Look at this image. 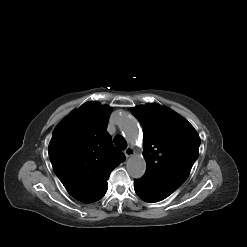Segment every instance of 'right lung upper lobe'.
Masks as SVG:
<instances>
[{"label":"right lung upper lobe","instance_id":"1","mask_svg":"<svg viewBox=\"0 0 247 247\" xmlns=\"http://www.w3.org/2000/svg\"><path fill=\"white\" fill-rule=\"evenodd\" d=\"M111 108L88 102L54 129L49 158L58 178L75 199L89 202L125 160L107 132Z\"/></svg>","mask_w":247,"mask_h":247}]
</instances>
